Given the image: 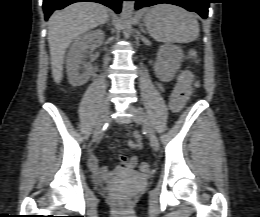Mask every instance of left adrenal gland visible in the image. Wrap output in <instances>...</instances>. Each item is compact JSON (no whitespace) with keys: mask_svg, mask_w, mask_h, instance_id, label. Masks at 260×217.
<instances>
[{"mask_svg":"<svg viewBox=\"0 0 260 217\" xmlns=\"http://www.w3.org/2000/svg\"><path fill=\"white\" fill-rule=\"evenodd\" d=\"M144 23H145V22H143V23L140 25V29H141L142 32L146 33V31H145V29H144Z\"/></svg>","mask_w":260,"mask_h":217,"instance_id":"obj_1","label":"left adrenal gland"}]
</instances>
